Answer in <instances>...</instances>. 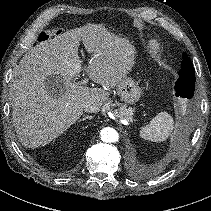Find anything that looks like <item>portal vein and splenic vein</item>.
<instances>
[{"label": "portal vein and splenic vein", "instance_id": "18ae733b", "mask_svg": "<svg viewBox=\"0 0 211 211\" xmlns=\"http://www.w3.org/2000/svg\"><path fill=\"white\" fill-rule=\"evenodd\" d=\"M88 82V79H84L82 80L80 83H78L79 85L82 84H86ZM110 118L115 119L114 115L112 113L109 114ZM124 123V122H123Z\"/></svg>", "mask_w": 211, "mask_h": 211}]
</instances>
